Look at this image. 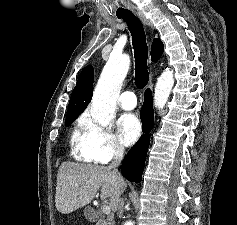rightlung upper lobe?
I'll return each mask as SVG.
<instances>
[{
	"label": "right lung upper lobe",
	"mask_w": 237,
	"mask_h": 225,
	"mask_svg": "<svg viewBox=\"0 0 237 225\" xmlns=\"http://www.w3.org/2000/svg\"><path fill=\"white\" fill-rule=\"evenodd\" d=\"M164 50L160 39H154L151 47V59L157 61ZM94 69L92 66L85 67L77 80V84L72 91L68 105L67 115L83 112L88 106L93 92ZM66 115V116H67Z\"/></svg>",
	"instance_id": "1"
}]
</instances>
